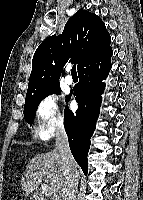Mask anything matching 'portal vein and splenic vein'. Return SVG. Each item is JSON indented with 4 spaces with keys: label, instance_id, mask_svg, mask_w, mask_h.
Returning <instances> with one entry per match:
<instances>
[{
    "label": "portal vein and splenic vein",
    "instance_id": "18ae733b",
    "mask_svg": "<svg viewBox=\"0 0 143 200\" xmlns=\"http://www.w3.org/2000/svg\"><path fill=\"white\" fill-rule=\"evenodd\" d=\"M42 193L45 195V197H51V193L49 192V189L46 187L45 184H42Z\"/></svg>",
    "mask_w": 143,
    "mask_h": 200
}]
</instances>
